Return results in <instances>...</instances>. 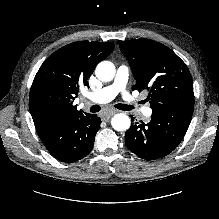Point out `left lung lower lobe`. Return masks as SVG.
I'll list each match as a JSON object with an SVG mask.
<instances>
[{
	"instance_id": "obj_1",
	"label": "left lung lower lobe",
	"mask_w": 219,
	"mask_h": 219,
	"mask_svg": "<svg viewBox=\"0 0 219 219\" xmlns=\"http://www.w3.org/2000/svg\"><path fill=\"white\" fill-rule=\"evenodd\" d=\"M193 110L177 113H152L147 124H132L125 135L127 148L137 156L159 159L172 152L182 141Z\"/></svg>"
}]
</instances>
